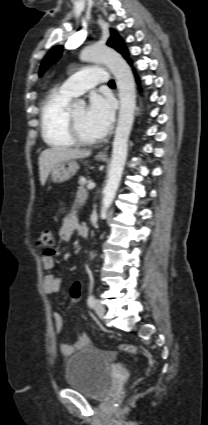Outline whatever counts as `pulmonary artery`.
Instances as JSON below:
<instances>
[{
    "label": "pulmonary artery",
    "mask_w": 208,
    "mask_h": 425,
    "mask_svg": "<svg viewBox=\"0 0 208 425\" xmlns=\"http://www.w3.org/2000/svg\"><path fill=\"white\" fill-rule=\"evenodd\" d=\"M108 75L100 67H86L68 78L61 89L73 97L79 96L100 83H107Z\"/></svg>",
    "instance_id": "obj_1"
}]
</instances>
